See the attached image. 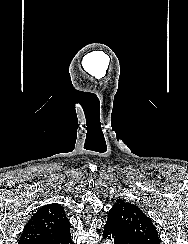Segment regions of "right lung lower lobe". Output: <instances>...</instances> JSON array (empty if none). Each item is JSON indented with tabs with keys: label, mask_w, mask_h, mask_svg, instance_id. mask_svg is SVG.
I'll list each match as a JSON object with an SVG mask.
<instances>
[{
	"label": "right lung lower lobe",
	"mask_w": 188,
	"mask_h": 244,
	"mask_svg": "<svg viewBox=\"0 0 188 244\" xmlns=\"http://www.w3.org/2000/svg\"><path fill=\"white\" fill-rule=\"evenodd\" d=\"M38 244H72L70 230H66L55 238L39 242Z\"/></svg>",
	"instance_id": "right-lung-lower-lobe-1"
}]
</instances>
